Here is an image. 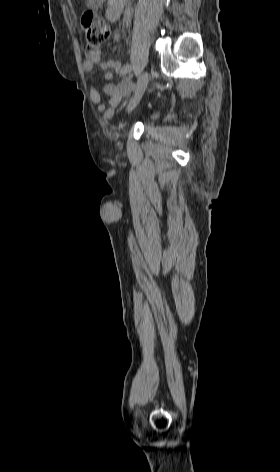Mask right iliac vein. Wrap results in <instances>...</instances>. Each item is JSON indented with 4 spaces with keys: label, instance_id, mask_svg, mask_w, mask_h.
<instances>
[{
    "label": "right iliac vein",
    "instance_id": "obj_1",
    "mask_svg": "<svg viewBox=\"0 0 280 472\" xmlns=\"http://www.w3.org/2000/svg\"><path fill=\"white\" fill-rule=\"evenodd\" d=\"M149 82V75L147 72L143 73L140 78L138 79V82L135 87V93L134 96L132 97L129 105H128V111H132L139 101L141 100Z\"/></svg>",
    "mask_w": 280,
    "mask_h": 472
}]
</instances>
